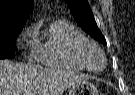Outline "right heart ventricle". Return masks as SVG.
Returning <instances> with one entry per match:
<instances>
[{"label":"right heart ventricle","mask_w":135,"mask_h":95,"mask_svg":"<svg viewBox=\"0 0 135 95\" xmlns=\"http://www.w3.org/2000/svg\"><path fill=\"white\" fill-rule=\"evenodd\" d=\"M32 34L36 44V59L47 68L82 71L84 68L73 58L72 44L84 35L69 21L55 20L43 27L38 23Z\"/></svg>","instance_id":"e07e8e85"}]
</instances>
